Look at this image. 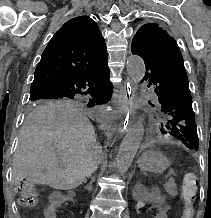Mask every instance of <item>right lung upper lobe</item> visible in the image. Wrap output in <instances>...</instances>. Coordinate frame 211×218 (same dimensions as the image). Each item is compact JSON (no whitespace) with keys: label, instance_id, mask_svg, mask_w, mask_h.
Here are the masks:
<instances>
[{"label":"right lung upper lobe","instance_id":"1","mask_svg":"<svg viewBox=\"0 0 211 218\" xmlns=\"http://www.w3.org/2000/svg\"><path fill=\"white\" fill-rule=\"evenodd\" d=\"M107 60L104 38L96 22L88 16L67 21L45 48L34 73L30 100L45 88L77 77Z\"/></svg>","mask_w":211,"mask_h":218}]
</instances>
